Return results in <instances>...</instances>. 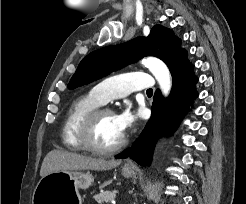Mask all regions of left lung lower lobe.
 <instances>
[{
  "label": "left lung lower lobe",
  "mask_w": 246,
  "mask_h": 204,
  "mask_svg": "<svg viewBox=\"0 0 246 204\" xmlns=\"http://www.w3.org/2000/svg\"><path fill=\"white\" fill-rule=\"evenodd\" d=\"M173 86L171 94L164 100L160 91L154 95L152 116L140 137L131 148L117 156V159L130 157L142 166H150L153 148L161 132H172L185 115L192 100L197 97L195 84L198 81L193 73V65L184 52L170 69Z\"/></svg>",
  "instance_id": "1"
}]
</instances>
